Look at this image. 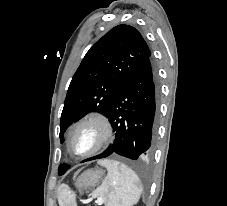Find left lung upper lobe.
<instances>
[{
    "instance_id": "obj_1",
    "label": "left lung upper lobe",
    "mask_w": 227,
    "mask_h": 206,
    "mask_svg": "<svg viewBox=\"0 0 227 206\" xmlns=\"http://www.w3.org/2000/svg\"><path fill=\"white\" fill-rule=\"evenodd\" d=\"M151 57L137 29L118 25L100 38L86 53L69 85L60 121V140L74 122L89 112L108 116L110 107L126 79ZM66 171L59 167V175Z\"/></svg>"
}]
</instances>
